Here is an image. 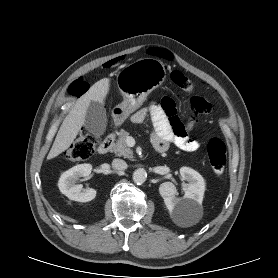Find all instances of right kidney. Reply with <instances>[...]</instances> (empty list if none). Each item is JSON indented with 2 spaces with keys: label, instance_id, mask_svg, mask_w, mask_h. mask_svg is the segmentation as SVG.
Listing matches in <instances>:
<instances>
[{
  "label": "right kidney",
  "instance_id": "1",
  "mask_svg": "<svg viewBox=\"0 0 278 278\" xmlns=\"http://www.w3.org/2000/svg\"><path fill=\"white\" fill-rule=\"evenodd\" d=\"M91 170L92 166L90 164H80L65 171L58 181V187L61 193L70 200L78 202H89L93 200L97 193L95 189H84L81 184H76L79 178L88 177Z\"/></svg>",
  "mask_w": 278,
  "mask_h": 278
}]
</instances>
